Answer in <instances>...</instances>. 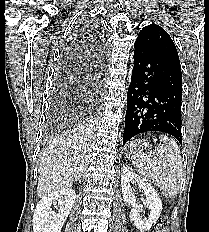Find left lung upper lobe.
<instances>
[{
    "instance_id": "1",
    "label": "left lung upper lobe",
    "mask_w": 209,
    "mask_h": 232,
    "mask_svg": "<svg viewBox=\"0 0 209 232\" xmlns=\"http://www.w3.org/2000/svg\"><path fill=\"white\" fill-rule=\"evenodd\" d=\"M136 42L147 46L155 53L180 65L179 56L169 34L159 25L151 24L143 27Z\"/></svg>"
}]
</instances>
